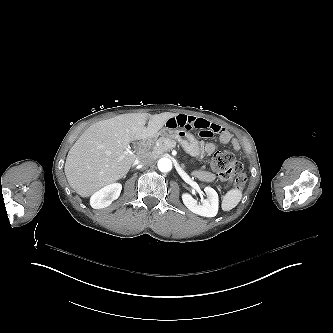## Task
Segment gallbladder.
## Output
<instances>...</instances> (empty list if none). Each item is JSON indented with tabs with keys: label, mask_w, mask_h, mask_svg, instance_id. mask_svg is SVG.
<instances>
[{
	"label": "gallbladder",
	"mask_w": 333,
	"mask_h": 333,
	"mask_svg": "<svg viewBox=\"0 0 333 333\" xmlns=\"http://www.w3.org/2000/svg\"><path fill=\"white\" fill-rule=\"evenodd\" d=\"M136 147L138 146L137 143L134 144Z\"/></svg>",
	"instance_id": "obj_1"
}]
</instances>
